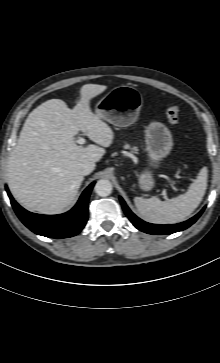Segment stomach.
<instances>
[{
	"instance_id": "obj_1",
	"label": "stomach",
	"mask_w": 220,
	"mask_h": 363,
	"mask_svg": "<svg viewBox=\"0 0 220 363\" xmlns=\"http://www.w3.org/2000/svg\"><path fill=\"white\" fill-rule=\"evenodd\" d=\"M143 103V96L136 88L122 85L113 88L96 104L95 114L115 126L127 127L138 119ZM145 145L149 166L157 168L173 147L170 130L160 122H151L145 129ZM137 177L142 190L150 191L154 187L155 179L149 168Z\"/></svg>"
}]
</instances>
